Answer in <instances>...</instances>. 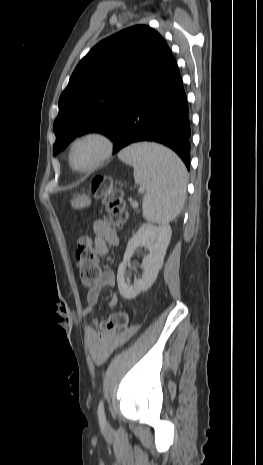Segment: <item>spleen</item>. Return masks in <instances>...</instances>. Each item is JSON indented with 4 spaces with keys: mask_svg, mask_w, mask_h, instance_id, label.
Wrapping results in <instances>:
<instances>
[{
    "mask_svg": "<svg viewBox=\"0 0 263 465\" xmlns=\"http://www.w3.org/2000/svg\"><path fill=\"white\" fill-rule=\"evenodd\" d=\"M119 158L134 168L135 182L146 195L143 217L166 225L180 214L187 186V170L171 150L150 143L134 144L119 153Z\"/></svg>",
    "mask_w": 263,
    "mask_h": 465,
    "instance_id": "spleen-1",
    "label": "spleen"
}]
</instances>
